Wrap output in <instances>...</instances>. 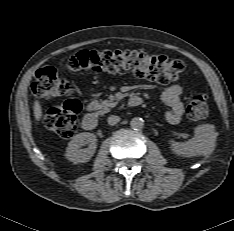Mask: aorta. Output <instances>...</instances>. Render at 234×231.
I'll return each instance as SVG.
<instances>
[{
  "instance_id": "obj_1",
  "label": "aorta",
  "mask_w": 234,
  "mask_h": 231,
  "mask_svg": "<svg viewBox=\"0 0 234 231\" xmlns=\"http://www.w3.org/2000/svg\"><path fill=\"white\" fill-rule=\"evenodd\" d=\"M130 126L131 128H133L134 130H140L143 128L144 126V121L142 118L139 117H134L131 121H130Z\"/></svg>"
}]
</instances>
